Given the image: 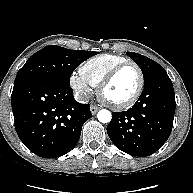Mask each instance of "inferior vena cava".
<instances>
[{
	"instance_id": "602c4592",
	"label": "inferior vena cava",
	"mask_w": 193,
	"mask_h": 193,
	"mask_svg": "<svg viewBox=\"0 0 193 193\" xmlns=\"http://www.w3.org/2000/svg\"><path fill=\"white\" fill-rule=\"evenodd\" d=\"M74 97L80 103H87L90 99V95L86 92H77Z\"/></svg>"
}]
</instances>
